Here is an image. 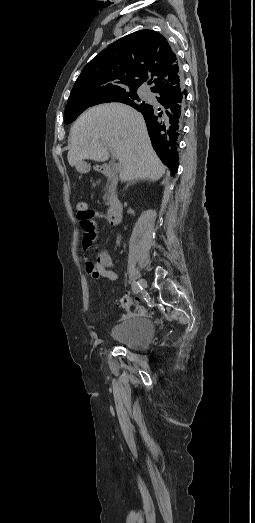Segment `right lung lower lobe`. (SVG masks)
<instances>
[{"instance_id":"right-lung-lower-lobe-1","label":"right lung lower lobe","mask_w":255,"mask_h":523,"mask_svg":"<svg viewBox=\"0 0 255 523\" xmlns=\"http://www.w3.org/2000/svg\"><path fill=\"white\" fill-rule=\"evenodd\" d=\"M177 170H178V165H177V167L175 168V173L177 172Z\"/></svg>"}]
</instances>
